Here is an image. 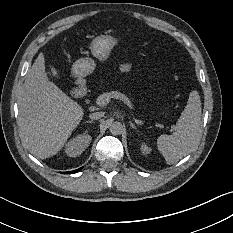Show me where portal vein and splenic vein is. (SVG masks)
Wrapping results in <instances>:
<instances>
[{
  "label": "portal vein and splenic vein",
  "mask_w": 233,
  "mask_h": 233,
  "mask_svg": "<svg viewBox=\"0 0 233 233\" xmlns=\"http://www.w3.org/2000/svg\"><path fill=\"white\" fill-rule=\"evenodd\" d=\"M113 92H116L118 94L119 99H121L124 103H126L127 107L130 108V110L133 112L134 111V107L132 105L131 101H128V98L125 97L124 94L119 93L118 91H111V92H105L103 94H101L98 99H97V104L101 105V106H105L106 104H108L113 98L111 97V94ZM116 98V99H117Z\"/></svg>",
  "instance_id": "18ae733b"
}]
</instances>
